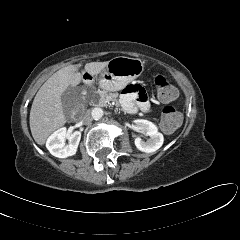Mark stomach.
Listing matches in <instances>:
<instances>
[{"mask_svg":"<svg viewBox=\"0 0 240 240\" xmlns=\"http://www.w3.org/2000/svg\"><path fill=\"white\" fill-rule=\"evenodd\" d=\"M144 71V62L138 58L118 56L111 59L98 75L99 86L107 91H118L138 78Z\"/></svg>","mask_w":240,"mask_h":240,"instance_id":"obj_1","label":"stomach"}]
</instances>
